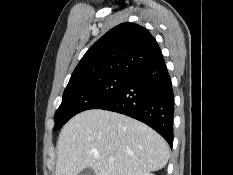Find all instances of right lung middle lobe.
<instances>
[{
  "label": "right lung middle lobe",
  "mask_w": 233,
  "mask_h": 175,
  "mask_svg": "<svg viewBox=\"0 0 233 175\" xmlns=\"http://www.w3.org/2000/svg\"><path fill=\"white\" fill-rule=\"evenodd\" d=\"M130 78L131 75L111 73L68 83L62 103L54 116V130L62 127L74 115L109 101Z\"/></svg>",
  "instance_id": "1"
}]
</instances>
